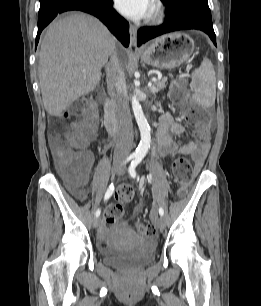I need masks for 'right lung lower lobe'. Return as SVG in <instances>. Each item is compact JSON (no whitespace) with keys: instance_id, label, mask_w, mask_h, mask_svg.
<instances>
[{"instance_id":"1","label":"right lung lower lobe","mask_w":261,"mask_h":306,"mask_svg":"<svg viewBox=\"0 0 261 306\" xmlns=\"http://www.w3.org/2000/svg\"><path fill=\"white\" fill-rule=\"evenodd\" d=\"M80 10L99 18L128 47L129 23L113 9V0H40L36 46L42 30L58 13Z\"/></svg>"}]
</instances>
